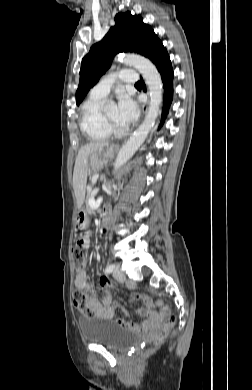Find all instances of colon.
<instances>
[{
  "instance_id": "obj_1",
  "label": "colon",
  "mask_w": 252,
  "mask_h": 390,
  "mask_svg": "<svg viewBox=\"0 0 252 390\" xmlns=\"http://www.w3.org/2000/svg\"><path fill=\"white\" fill-rule=\"evenodd\" d=\"M72 262L73 270L76 274L81 273L84 270L86 264V258L83 251V241L79 240L76 247L72 250ZM132 298L136 300H147L148 297L141 294H134ZM73 301L75 306L82 312L85 317H91L94 315L93 310L88 305V295L82 289H76L73 293ZM167 316L163 322V325L159 332H157L153 338V345L158 346L162 344L168 335L170 329L176 323V317L174 314H171L167 309L165 310Z\"/></svg>"
}]
</instances>
